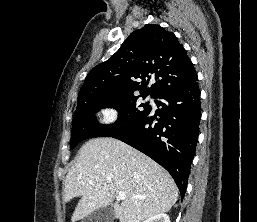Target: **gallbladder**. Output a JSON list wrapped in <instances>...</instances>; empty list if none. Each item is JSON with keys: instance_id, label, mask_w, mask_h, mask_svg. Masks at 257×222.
Returning a JSON list of instances; mask_svg holds the SVG:
<instances>
[{"instance_id": "bac80fb5", "label": "gallbladder", "mask_w": 257, "mask_h": 222, "mask_svg": "<svg viewBox=\"0 0 257 222\" xmlns=\"http://www.w3.org/2000/svg\"><path fill=\"white\" fill-rule=\"evenodd\" d=\"M115 213L112 206L102 207L89 214L82 222H114Z\"/></svg>"}]
</instances>
